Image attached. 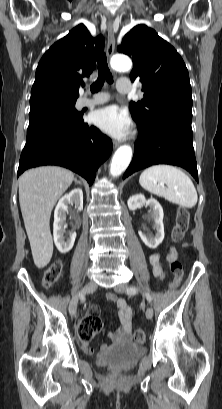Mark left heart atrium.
<instances>
[{
	"label": "left heart atrium",
	"instance_id": "1",
	"mask_svg": "<svg viewBox=\"0 0 222 409\" xmlns=\"http://www.w3.org/2000/svg\"><path fill=\"white\" fill-rule=\"evenodd\" d=\"M91 121L103 132L116 137H125L130 131V119L126 112L116 106H107L96 110L91 115Z\"/></svg>",
	"mask_w": 222,
	"mask_h": 409
}]
</instances>
